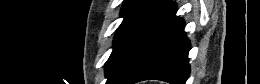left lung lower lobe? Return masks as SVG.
Here are the masks:
<instances>
[{"label": "left lung lower lobe", "instance_id": "1", "mask_svg": "<svg viewBox=\"0 0 260 84\" xmlns=\"http://www.w3.org/2000/svg\"><path fill=\"white\" fill-rule=\"evenodd\" d=\"M176 9L171 0L159 2L121 50L106 84H133L149 79L186 83L190 42Z\"/></svg>", "mask_w": 260, "mask_h": 84}]
</instances>
